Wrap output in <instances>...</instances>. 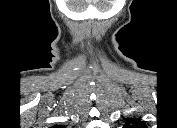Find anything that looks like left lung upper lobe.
<instances>
[{
  "label": "left lung upper lobe",
  "mask_w": 177,
  "mask_h": 128,
  "mask_svg": "<svg viewBox=\"0 0 177 128\" xmlns=\"http://www.w3.org/2000/svg\"><path fill=\"white\" fill-rule=\"evenodd\" d=\"M125 128H144L145 124L139 119H131L125 125Z\"/></svg>",
  "instance_id": "1"
}]
</instances>
